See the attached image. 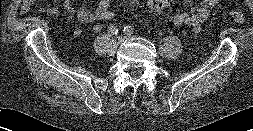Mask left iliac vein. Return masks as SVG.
Returning <instances> with one entry per match:
<instances>
[{
    "instance_id": "left-iliac-vein-1",
    "label": "left iliac vein",
    "mask_w": 253,
    "mask_h": 131,
    "mask_svg": "<svg viewBox=\"0 0 253 131\" xmlns=\"http://www.w3.org/2000/svg\"><path fill=\"white\" fill-rule=\"evenodd\" d=\"M128 38H131L133 35L132 34H128L126 35Z\"/></svg>"
}]
</instances>
